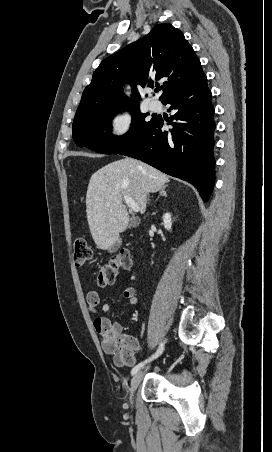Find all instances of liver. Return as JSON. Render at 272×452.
Returning a JSON list of instances; mask_svg holds the SVG:
<instances>
[{
  "mask_svg": "<svg viewBox=\"0 0 272 452\" xmlns=\"http://www.w3.org/2000/svg\"><path fill=\"white\" fill-rule=\"evenodd\" d=\"M169 178L156 168L132 158L109 163L92 174L86 195V213L92 238L99 249H109L129 223L123 196L146 211L147 194L159 191Z\"/></svg>",
  "mask_w": 272,
  "mask_h": 452,
  "instance_id": "6515ba94",
  "label": "liver"
}]
</instances>
